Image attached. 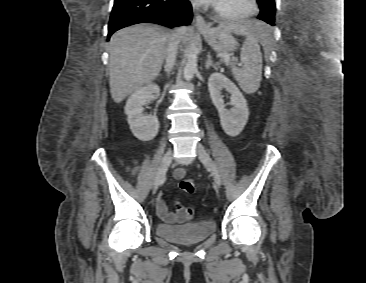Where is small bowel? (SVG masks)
Here are the masks:
<instances>
[{"mask_svg": "<svg viewBox=\"0 0 366 283\" xmlns=\"http://www.w3.org/2000/svg\"><path fill=\"white\" fill-rule=\"evenodd\" d=\"M127 172L130 174H136L138 171L137 161H133L131 166L126 168ZM174 178L181 179L185 175V169L178 168L174 171ZM157 212L158 215L165 221L169 223L173 222H183L188 219L189 214L181 205L178 204L176 212H170L165 201L159 197L156 202Z\"/></svg>", "mask_w": 366, "mask_h": 283, "instance_id": "obj_1", "label": "small bowel"}]
</instances>
